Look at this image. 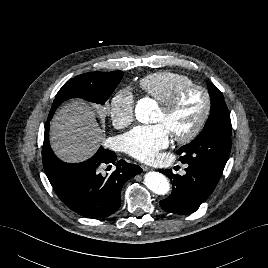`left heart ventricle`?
Listing matches in <instances>:
<instances>
[{"mask_svg":"<svg viewBox=\"0 0 268 268\" xmlns=\"http://www.w3.org/2000/svg\"><path fill=\"white\" fill-rule=\"evenodd\" d=\"M203 109V94L198 90H192L183 96L172 114L164 115L159 108L154 123L163 124L170 135H183L194 127L202 115Z\"/></svg>","mask_w":268,"mask_h":268,"instance_id":"obj_1","label":"left heart ventricle"}]
</instances>
